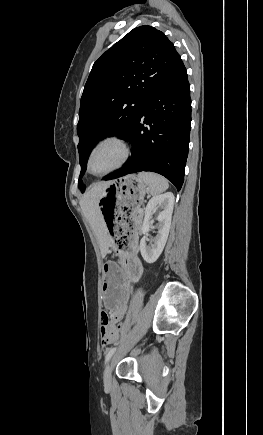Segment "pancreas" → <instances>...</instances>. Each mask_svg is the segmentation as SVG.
Here are the masks:
<instances>
[{
    "label": "pancreas",
    "instance_id": "obj_1",
    "mask_svg": "<svg viewBox=\"0 0 263 435\" xmlns=\"http://www.w3.org/2000/svg\"><path fill=\"white\" fill-rule=\"evenodd\" d=\"M136 213H138V216L135 215ZM143 214H144V210L143 209H141V210L140 209H136L134 214H133L134 215V220L137 223L141 222Z\"/></svg>",
    "mask_w": 263,
    "mask_h": 435
}]
</instances>
